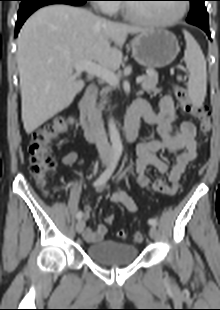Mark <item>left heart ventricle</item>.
<instances>
[{
  "instance_id": "left-heart-ventricle-1",
  "label": "left heart ventricle",
  "mask_w": 220,
  "mask_h": 310,
  "mask_svg": "<svg viewBox=\"0 0 220 310\" xmlns=\"http://www.w3.org/2000/svg\"><path fill=\"white\" fill-rule=\"evenodd\" d=\"M132 12L152 20H167L178 14L180 3L130 4Z\"/></svg>"
}]
</instances>
